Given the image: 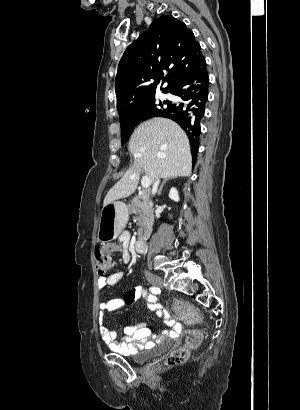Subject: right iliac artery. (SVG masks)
<instances>
[{
    "mask_svg": "<svg viewBox=\"0 0 300 410\" xmlns=\"http://www.w3.org/2000/svg\"><path fill=\"white\" fill-rule=\"evenodd\" d=\"M150 291H151L153 294H160V293H161V290H160V288H158V287H150Z\"/></svg>",
    "mask_w": 300,
    "mask_h": 410,
    "instance_id": "obj_1",
    "label": "right iliac artery"
}]
</instances>
